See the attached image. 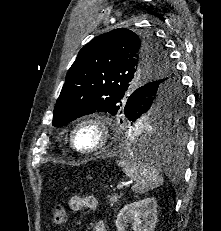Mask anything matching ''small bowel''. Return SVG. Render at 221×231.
I'll return each mask as SVG.
<instances>
[{"label": "small bowel", "mask_w": 221, "mask_h": 231, "mask_svg": "<svg viewBox=\"0 0 221 231\" xmlns=\"http://www.w3.org/2000/svg\"><path fill=\"white\" fill-rule=\"evenodd\" d=\"M69 207L73 211H80L82 209L95 211L98 208V201L93 196L73 195L69 199ZM92 231H107L105 223L101 220L97 221Z\"/></svg>", "instance_id": "small-bowel-1"}]
</instances>
